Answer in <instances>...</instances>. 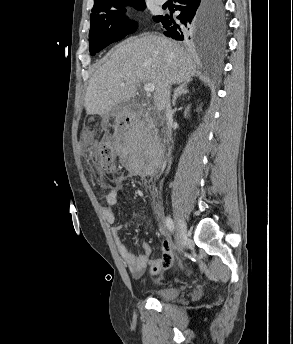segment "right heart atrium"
Wrapping results in <instances>:
<instances>
[{
	"mask_svg": "<svg viewBox=\"0 0 293 344\" xmlns=\"http://www.w3.org/2000/svg\"><path fill=\"white\" fill-rule=\"evenodd\" d=\"M125 21H126V23H128V24H133V23H134V18L131 17V16H129V17H127V18L125 19Z\"/></svg>",
	"mask_w": 293,
	"mask_h": 344,
	"instance_id": "1",
	"label": "right heart atrium"
}]
</instances>
